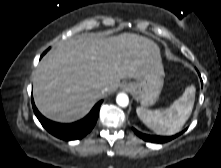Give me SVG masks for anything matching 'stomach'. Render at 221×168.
<instances>
[{"label": "stomach", "mask_w": 221, "mask_h": 168, "mask_svg": "<svg viewBox=\"0 0 221 168\" xmlns=\"http://www.w3.org/2000/svg\"><path fill=\"white\" fill-rule=\"evenodd\" d=\"M163 83V68H156L135 82L125 83V87L128 88L137 101H140L142 106H149L158 100Z\"/></svg>", "instance_id": "stomach-1"}]
</instances>
